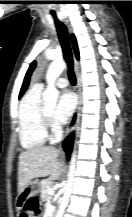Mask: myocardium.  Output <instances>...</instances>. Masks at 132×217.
I'll use <instances>...</instances> for the list:
<instances>
[{
    "label": "myocardium",
    "instance_id": "1",
    "mask_svg": "<svg viewBox=\"0 0 132 217\" xmlns=\"http://www.w3.org/2000/svg\"><path fill=\"white\" fill-rule=\"evenodd\" d=\"M42 116H43V120H44L45 123L47 122V120L51 116V114L46 110L45 106L43 107V110H42Z\"/></svg>",
    "mask_w": 132,
    "mask_h": 217
}]
</instances>
